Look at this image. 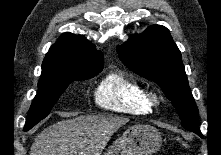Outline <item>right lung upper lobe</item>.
<instances>
[{"instance_id": "cb5924a9", "label": "right lung upper lobe", "mask_w": 221, "mask_h": 155, "mask_svg": "<svg viewBox=\"0 0 221 155\" xmlns=\"http://www.w3.org/2000/svg\"><path fill=\"white\" fill-rule=\"evenodd\" d=\"M102 65L103 55L95 51L91 43L82 37L65 33L49 49L42 64V71H64Z\"/></svg>"}]
</instances>
